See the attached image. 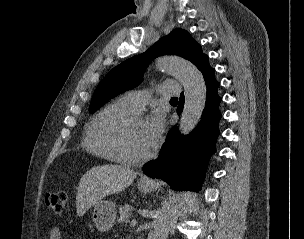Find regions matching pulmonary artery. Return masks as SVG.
<instances>
[{
    "label": "pulmonary artery",
    "mask_w": 304,
    "mask_h": 239,
    "mask_svg": "<svg viewBox=\"0 0 304 239\" xmlns=\"http://www.w3.org/2000/svg\"><path fill=\"white\" fill-rule=\"evenodd\" d=\"M181 88L174 81H165L158 86V92L164 97H174L179 95ZM151 96L146 91H130L124 94L121 100L134 112L142 108L150 101Z\"/></svg>",
    "instance_id": "pulmonary-artery-1"
}]
</instances>
